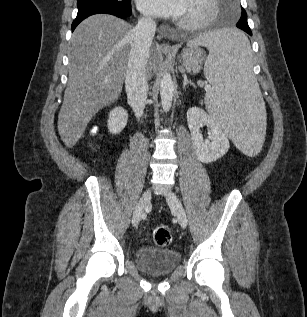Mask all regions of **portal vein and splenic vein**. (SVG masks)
<instances>
[{
  "label": "portal vein and splenic vein",
  "instance_id": "1",
  "mask_svg": "<svg viewBox=\"0 0 307 317\" xmlns=\"http://www.w3.org/2000/svg\"><path fill=\"white\" fill-rule=\"evenodd\" d=\"M204 89H205V91H209L211 89V87L209 85H205Z\"/></svg>",
  "mask_w": 307,
  "mask_h": 317
}]
</instances>
